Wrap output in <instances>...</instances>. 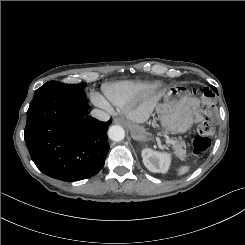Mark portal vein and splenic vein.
<instances>
[{
    "mask_svg": "<svg viewBox=\"0 0 245 245\" xmlns=\"http://www.w3.org/2000/svg\"><path fill=\"white\" fill-rule=\"evenodd\" d=\"M166 142H168V143H174V141L171 140V139H169V138H166Z\"/></svg>",
    "mask_w": 245,
    "mask_h": 245,
    "instance_id": "1",
    "label": "portal vein and splenic vein"
}]
</instances>
